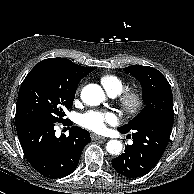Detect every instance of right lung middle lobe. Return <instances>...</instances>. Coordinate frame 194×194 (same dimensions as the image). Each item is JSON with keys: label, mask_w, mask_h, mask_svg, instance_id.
Listing matches in <instances>:
<instances>
[{"label": "right lung middle lobe", "mask_w": 194, "mask_h": 194, "mask_svg": "<svg viewBox=\"0 0 194 194\" xmlns=\"http://www.w3.org/2000/svg\"><path fill=\"white\" fill-rule=\"evenodd\" d=\"M77 84L51 61L39 62L20 87L15 121L26 118L65 121L64 109L72 107Z\"/></svg>", "instance_id": "obj_1"}]
</instances>
